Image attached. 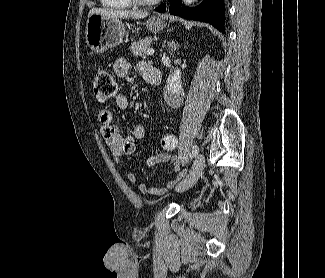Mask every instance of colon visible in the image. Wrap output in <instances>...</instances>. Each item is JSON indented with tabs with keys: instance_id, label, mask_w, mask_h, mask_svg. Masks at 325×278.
<instances>
[{
	"instance_id": "1",
	"label": "colon",
	"mask_w": 325,
	"mask_h": 278,
	"mask_svg": "<svg viewBox=\"0 0 325 278\" xmlns=\"http://www.w3.org/2000/svg\"><path fill=\"white\" fill-rule=\"evenodd\" d=\"M93 93L95 99L100 103H107L117 93V84L114 77L105 70L96 73L93 81ZM161 146L167 152H173L177 148V139L174 134L162 137Z\"/></svg>"
}]
</instances>
